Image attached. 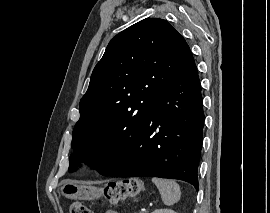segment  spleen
<instances>
[{"label": "spleen", "mask_w": 270, "mask_h": 213, "mask_svg": "<svg viewBox=\"0 0 270 213\" xmlns=\"http://www.w3.org/2000/svg\"><path fill=\"white\" fill-rule=\"evenodd\" d=\"M152 182L157 186L165 205L171 206L180 200L181 190L174 180L152 178Z\"/></svg>", "instance_id": "spleen-1"}]
</instances>
